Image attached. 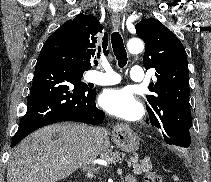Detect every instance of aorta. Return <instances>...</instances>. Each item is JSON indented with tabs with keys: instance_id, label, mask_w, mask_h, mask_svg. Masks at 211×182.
<instances>
[{
	"instance_id": "aorta-1",
	"label": "aorta",
	"mask_w": 211,
	"mask_h": 182,
	"mask_svg": "<svg viewBox=\"0 0 211 182\" xmlns=\"http://www.w3.org/2000/svg\"><path fill=\"white\" fill-rule=\"evenodd\" d=\"M127 48L130 53L137 54L143 51L144 43L139 38H132L128 41Z\"/></svg>"
}]
</instances>
